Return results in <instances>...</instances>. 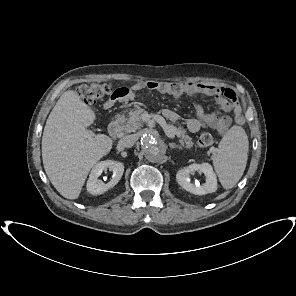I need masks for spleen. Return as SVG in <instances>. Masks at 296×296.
I'll return each mask as SVG.
<instances>
[{
  "label": "spleen",
  "instance_id": "spleen-1",
  "mask_svg": "<svg viewBox=\"0 0 296 296\" xmlns=\"http://www.w3.org/2000/svg\"><path fill=\"white\" fill-rule=\"evenodd\" d=\"M249 142L245 130L231 127L221 139L213 166L221 185L231 189L242 177L248 159Z\"/></svg>",
  "mask_w": 296,
  "mask_h": 296
}]
</instances>
